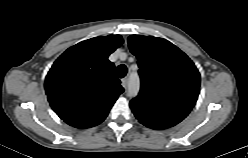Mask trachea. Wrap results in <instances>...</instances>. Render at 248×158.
<instances>
[{"label": "trachea", "mask_w": 248, "mask_h": 158, "mask_svg": "<svg viewBox=\"0 0 248 158\" xmlns=\"http://www.w3.org/2000/svg\"><path fill=\"white\" fill-rule=\"evenodd\" d=\"M117 76L123 78L127 74V67L125 65H119L116 69Z\"/></svg>", "instance_id": "trachea-1"}]
</instances>
